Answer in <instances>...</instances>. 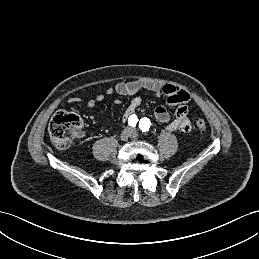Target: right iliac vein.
I'll return each instance as SVG.
<instances>
[{
  "mask_svg": "<svg viewBox=\"0 0 259 259\" xmlns=\"http://www.w3.org/2000/svg\"><path fill=\"white\" fill-rule=\"evenodd\" d=\"M131 136V130L129 128L124 129L120 134V139L126 141Z\"/></svg>",
  "mask_w": 259,
  "mask_h": 259,
  "instance_id": "obj_1",
  "label": "right iliac vein"
}]
</instances>
